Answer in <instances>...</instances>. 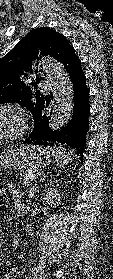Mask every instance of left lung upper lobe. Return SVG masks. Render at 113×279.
Wrapping results in <instances>:
<instances>
[{
	"label": "left lung upper lobe",
	"instance_id": "left-lung-upper-lobe-1",
	"mask_svg": "<svg viewBox=\"0 0 113 279\" xmlns=\"http://www.w3.org/2000/svg\"><path fill=\"white\" fill-rule=\"evenodd\" d=\"M70 50L73 47L66 37L55 30L32 29L0 59V104L18 102L33 114L34 107L44 98L39 87L42 78L37 75L38 60L49 55L63 63ZM33 73L35 82L30 83L28 80Z\"/></svg>",
	"mask_w": 113,
	"mask_h": 279
}]
</instances>
